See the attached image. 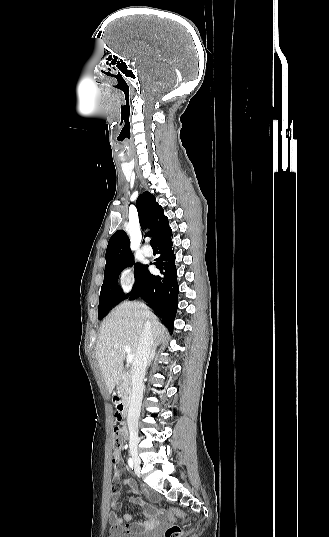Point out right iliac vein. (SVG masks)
<instances>
[{"mask_svg":"<svg viewBox=\"0 0 329 537\" xmlns=\"http://www.w3.org/2000/svg\"><path fill=\"white\" fill-rule=\"evenodd\" d=\"M137 442L135 439H131L130 440V453L133 457V460H134V464H135V469L136 470H139L140 469V459L137 455Z\"/></svg>","mask_w":329,"mask_h":537,"instance_id":"obj_1","label":"right iliac vein"}]
</instances>
